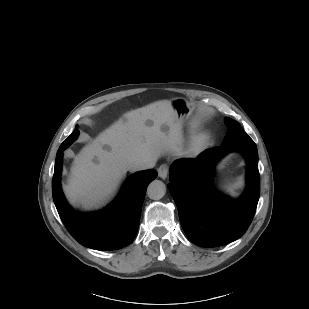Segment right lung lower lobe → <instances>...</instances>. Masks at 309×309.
I'll use <instances>...</instances> for the list:
<instances>
[{"mask_svg":"<svg viewBox=\"0 0 309 309\" xmlns=\"http://www.w3.org/2000/svg\"><path fill=\"white\" fill-rule=\"evenodd\" d=\"M64 149L59 148L56 155L52 195L69 233L83 246L101 251L120 249L132 243L139 226L146 186L157 177L156 170L141 171L129 177L118 197L103 210L79 214L70 208L61 190Z\"/></svg>","mask_w":309,"mask_h":309,"instance_id":"98d812e1","label":"right lung lower lobe"}]
</instances>
